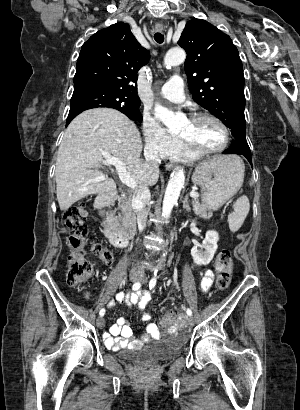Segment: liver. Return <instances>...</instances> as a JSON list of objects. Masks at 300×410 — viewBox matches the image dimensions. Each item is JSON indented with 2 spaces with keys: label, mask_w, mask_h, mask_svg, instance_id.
Listing matches in <instances>:
<instances>
[{
  "label": "liver",
  "mask_w": 300,
  "mask_h": 410,
  "mask_svg": "<svg viewBox=\"0 0 300 410\" xmlns=\"http://www.w3.org/2000/svg\"><path fill=\"white\" fill-rule=\"evenodd\" d=\"M142 147L138 128L119 111L96 108L79 114L65 130L58 150L55 180L60 209L67 210L88 195L116 189L114 180L98 170L103 152L121 160L136 183L155 185L159 170L140 159Z\"/></svg>",
  "instance_id": "6515ba94"
}]
</instances>
